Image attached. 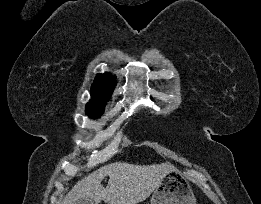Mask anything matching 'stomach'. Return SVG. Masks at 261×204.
I'll return each instance as SVG.
<instances>
[{
    "instance_id": "stomach-1",
    "label": "stomach",
    "mask_w": 261,
    "mask_h": 204,
    "mask_svg": "<svg viewBox=\"0 0 261 204\" xmlns=\"http://www.w3.org/2000/svg\"><path fill=\"white\" fill-rule=\"evenodd\" d=\"M150 204H196V199L187 179L173 170L156 187Z\"/></svg>"
}]
</instances>
